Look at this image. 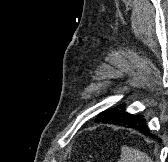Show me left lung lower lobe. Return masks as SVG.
Here are the masks:
<instances>
[{
  "label": "left lung lower lobe",
  "instance_id": "obj_1",
  "mask_svg": "<svg viewBox=\"0 0 168 162\" xmlns=\"http://www.w3.org/2000/svg\"><path fill=\"white\" fill-rule=\"evenodd\" d=\"M118 108L115 107L113 109L102 112L101 118H99L98 120L95 119V122L109 123V124L124 126L126 128H133L143 133L144 135L151 136L154 139H158L161 142L160 138H157L156 136L151 134L146 124V120L142 118V116L132 115L125 112L123 105L118 106Z\"/></svg>",
  "mask_w": 168,
  "mask_h": 162
}]
</instances>
